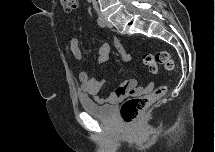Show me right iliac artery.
I'll use <instances>...</instances> for the list:
<instances>
[{"mask_svg":"<svg viewBox=\"0 0 215 152\" xmlns=\"http://www.w3.org/2000/svg\"><path fill=\"white\" fill-rule=\"evenodd\" d=\"M97 23L100 27L104 28L106 26L104 20L101 17H98Z\"/></svg>","mask_w":215,"mask_h":152,"instance_id":"82829eb1","label":"right iliac artery"}]
</instances>
